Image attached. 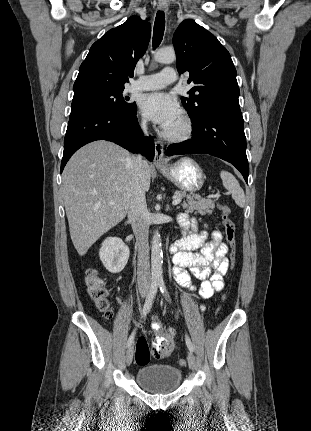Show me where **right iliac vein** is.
Instances as JSON below:
<instances>
[{
	"label": "right iliac vein",
	"mask_w": 311,
	"mask_h": 431,
	"mask_svg": "<svg viewBox=\"0 0 311 431\" xmlns=\"http://www.w3.org/2000/svg\"><path fill=\"white\" fill-rule=\"evenodd\" d=\"M142 297H143V298H144V297H146V293H143V294H142ZM133 355H134V349H133V347H130V348L128 349L127 353H126V358H125V361H126V364H127V365H130V364H131V362H132V360H133Z\"/></svg>",
	"instance_id": "right-iliac-vein-1"
}]
</instances>
